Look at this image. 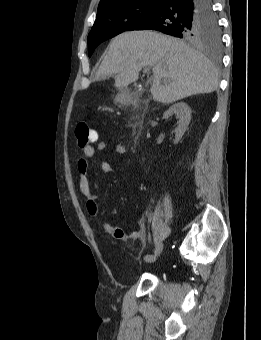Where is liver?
<instances>
[{"mask_svg": "<svg viewBox=\"0 0 261 340\" xmlns=\"http://www.w3.org/2000/svg\"><path fill=\"white\" fill-rule=\"evenodd\" d=\"M153 69L151 94L169 104L185 97L210 93L218 87L214 65L183 41L153 31H131L116 36L109 45L97 79L114 75L124 89L137 81L143 67Z\"/></svg>", "mask_w": 261, "mask_h": 340, "instance_id": "6515ba94", "label": "liver"}]
</instances>
